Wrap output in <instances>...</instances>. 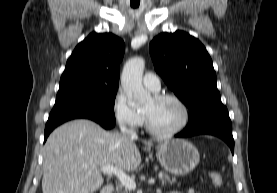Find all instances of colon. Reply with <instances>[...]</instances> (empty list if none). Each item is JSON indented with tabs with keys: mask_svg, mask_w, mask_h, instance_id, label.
<instances>
[{
	"mask_svg": "<svg viewBox=\"0 0 277 193\" xmlns=\"http://www.w3.org/2000/svg\"><path fill=\"white\" fill-rule=\"evenodd\" d=\"M209 177H210V180L212 182V184L215 186V187H222L223 186V183H224V180H223V176L220 172L218 171H211L209 173Z\"/></svg>",
	"mask_w": 277,
	"mask_h": 193,
	"instance_id": "1",
	"label": "colon"
}]
</instances>
